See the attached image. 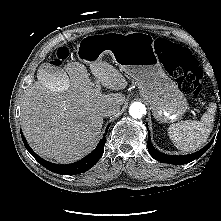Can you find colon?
Wrapping results in <instances>:
<instances>
[{
	"instance_id": "obj_1",
	"label": "colon",
	"mask_w": 221,
	"mask_h": 221,
	"mask_svg": "<svg viewBox=\"0 0 221 221\" xmlns=\"http://www.w3.org/2000/svg\"><path fill=\"white\" fill-rule=\"evenodd\" d=\"M155 49L164 56V65L177 81L181 91L190 96L198 95L202 89L203 73L192 53L187 48L171 44L164 38L157 39ZM69 55L67 47H60L53 64L61 65Z\"/></svg>"
}]
</instances>
